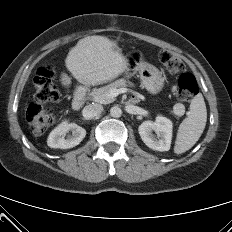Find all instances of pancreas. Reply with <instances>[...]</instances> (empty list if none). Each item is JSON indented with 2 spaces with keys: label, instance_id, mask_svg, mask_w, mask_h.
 Masks as SVG:
<instances>
[{
  "label": "pancreas",
  "instance_id": "cf45deb5",
  "mask_svg": "<svg viewBox=\"0 0 232 232\" xmlns=\"http://www.w3.org/2000/svg\"><path fill=\"white\" fill-rule=\"evenodd\" d=\"M128 85L133 86V83L126 81L124 79H120V80H117V81H115V82H113L105 87L94 89L91 92V97L96 102L108 104V103H111L115 100L114 97L110 96L111 90L117 89L120 87H125ZM173 113H175V112L173 111Z\"/></svg>",
  "mask_w": 232,
  "mask_h": 232
}]
</instances>
